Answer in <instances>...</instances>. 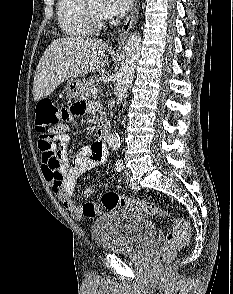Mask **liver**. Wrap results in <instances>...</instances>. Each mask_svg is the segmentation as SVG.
Segmentation results:
<instances>
[{"mask_svg":"<svg viewBox=\"0 0 233 294\" xmlns=\"http://www.w3.org/2000/svg\"><path fill=\"white\" fill-rule=\"evenodd\" d=\"M106 43L100 39L66 37L54 40L43 53L34 75V100L47 97L63 81L102 69Z\"/></svg>","mask_w":233,"mask_h":294,"instance_id":"1","label":"liver"}]
</instances>
